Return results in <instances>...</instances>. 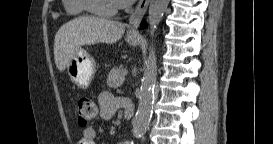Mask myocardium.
I'll return each instance as SVG.
<instances>
[{
    "instance_id": "1",
    "label": "myocardium",
    "mask_w": 273,
    "mask_h": 144,
    "mask_svg": "<svg viewBox=\"0 0 273 144\" xmlns=\"http://www.w3.org/2000/svg\"><path fill=\"white\" fill-rule=\"evenodd\" d=\"M97 1L98 0H83V7L85 11L99 16H107L115 14L119 9L118 6H113L108 9H102L97 5Z\"/></svg>"
}]
</instances>
